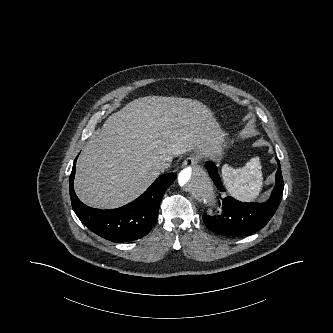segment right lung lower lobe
<instances>
[{
    "instance_id": "1",
    "label": "right lung lower lobe",
    "mask_w": 333,
    "mask_h": 333,
    "mask_svg": "<svg viewBox=\"0 0 333 333\" xmlns=\"http://www.w3.org/2000/svg\"><path fill=\"white\" fill-rule=\"evenodd\" d=\"M75 165L76 159L69 180L74 212L91 231L117 243L137 240L150 232L157 220L161 199L176 178L174 173L162 175L133 202L118 209L101 210L86 206L75 195Z\"/></svg>"
}]
</instances>
